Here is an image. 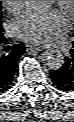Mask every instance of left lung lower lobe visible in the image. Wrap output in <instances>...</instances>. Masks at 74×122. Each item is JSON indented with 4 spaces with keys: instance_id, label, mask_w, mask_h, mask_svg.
Segmentation results:
<instances>
[{
    "instance_id": "0a47b994",
    "label": "left lung lower lobe",
    "mask_w": 74,
    "mask_h": 122,
    "mask_svg": "<svg viewBox=\"0 0 74 122\" xmlns=\"http://www.w3.org/2000/svg\"><path fill=\"white\" fill-rule=\"evenodd\" d=\"M72 46L62 67L50 73L52 82L62 91H74V41Z\"/></svg>"
}]
</instances>
